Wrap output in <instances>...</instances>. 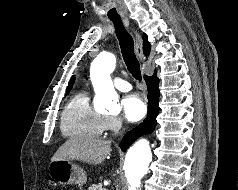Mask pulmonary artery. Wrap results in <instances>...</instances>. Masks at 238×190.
<instances>
[{"mask_svg": "<svg viewBox=\"0 0 238 190\" xmlns=\"http://www.w3.org/2000/svg\"><path fill=\"white\" fill-rule=\"evenodd\" d=\"M114 86L118 90L123 91V92L129 91L132 88L129 82H127V81H125V80H123L121 78H115Z\"/></svg>", "mask_w": 238, "mask_h": 190, "instance_id": "1", "label": "pulmonary artery"}]
</instances>
